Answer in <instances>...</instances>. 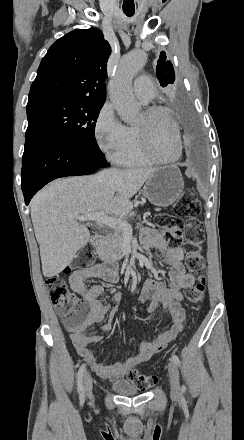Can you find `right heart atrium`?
<instances>
[{"mask_svg": "<svg viewBox=\"0 0 244 440\" xmlns=\"http://www.w3.org/2000/svg\"><path fill=\"white\" fill-rule=\"evenodd\" d=\"M94 135L101 150L110 158L117 151L126 152L135 147L129 127L120 121L111 103H105L101 108L95 121Z\"/></svg>", "mask_w": 244, "mask_h": 440, "instance_id": "1", "label": "right heart atrium"}]
</instances>
